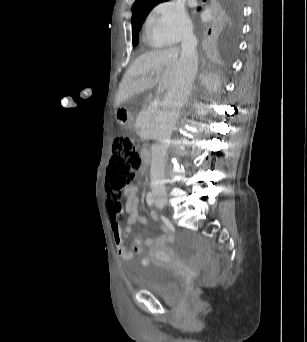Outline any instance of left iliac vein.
Masks as SVG:
<instances>
[{"mask_svg":"<svg viewBox=\"0 0 307 342\" xmlns=\"http://www.w3.org/2000/svg\"><path fill=\"white\" fill-rule=\"evenodd\" d=\"M155 204H156L157 207L162 208V204H160L157 199L155 201Z\"/></svg>","mask_w":307,"mask_h":342,"instance_id":"1","label":"left iliac vein"}]
</instances>
